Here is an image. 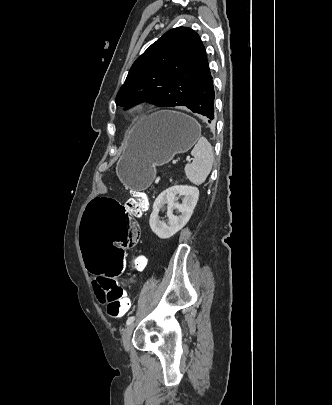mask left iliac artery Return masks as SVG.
I'll use <instances>...</instances> for the list:
<instances>
[{
  "mask_svg": "<svg viewBox=\"0 0 332 405\" xmlns=\"http://www.w3.org/2000/svg\"><path fill=\"white\" fill-rule=\"evenodd\" d=\"M135 320V316H131L127 319L126 321V325H130L131 323H133V321Z\"/></svg>",
  "mask_w": 332,
  "mask_h": 405,
  "instance_id": "44dca946",
  "label": "left iliac artery"
}]
</instances>
